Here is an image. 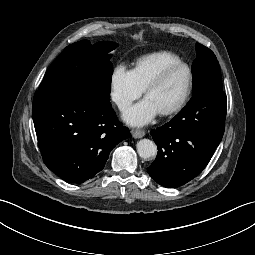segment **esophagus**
<instances>
[{
    "label": "esophagus",
    "mask_w": 255,
    "mask_h": 255,
    "mask_svg": "<svg viewBox=\"0 0 255 255\" xmlns=\"http://www.w3.org/2000/svg\"><path fill=\"white\" fill-rule=\"evenodd\" d=\"M131 133L134 138H141L145 135V132L139 129H132Z\"/></svg>",
    "instance_id": "obj_1"
}]
</instances>
